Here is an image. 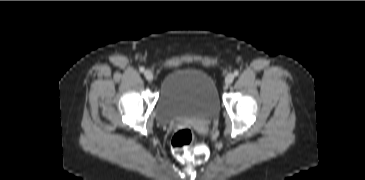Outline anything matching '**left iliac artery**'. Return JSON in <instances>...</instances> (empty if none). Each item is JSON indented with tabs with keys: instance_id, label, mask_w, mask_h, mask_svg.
I'll use <instances>...</instances> for the list:
<instances>
[{
	"instance_id": "left-iliac-artery-1",
	"label": "left iliac artery",
	"mask_w": 365,
	"mask_h": 180,
	"mask_svg": "<svg viewBox=\"0 0 365 180\" xmlns=\"http://www.w3.org/2000/svg\"><path fill=\"white\" fill-rule=\"evenodd\" d=\"M234 75H235V76H238V75H239V71H237V70H236V71H234Z\"/></svg>"
}]
</instances>
